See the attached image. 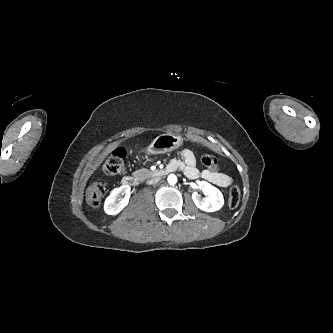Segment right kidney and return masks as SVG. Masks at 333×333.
Segmentation results:
<instances>
[{
  "label": "right kidney",
  "instance_id": "ca27d5eb",
  "mask_svg": "<svg viewBox=\"0 0 333 333\" xmlns=\"http://www.w3.org/2000/svg\"><path fill=\"white\" fill-rule=\"evenodd\" d=\"M122 198H119L120 195ZM131 189L128 185H122L111 191L104 203V210L108 215L118 214L129 202Z\"/></svg>",
  "mask_w": 333,
  "mask_h": 333
}]
</instances>
